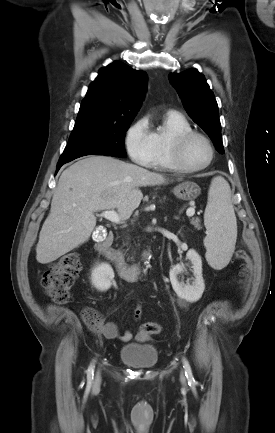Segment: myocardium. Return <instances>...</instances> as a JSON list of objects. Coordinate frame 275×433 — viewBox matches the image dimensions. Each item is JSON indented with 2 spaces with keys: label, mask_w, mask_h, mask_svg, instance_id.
<instances>
[{
  "label": "myocardium",
  "mask_w": 275,
  "mask_h": 433,
  "mask_svg": "<svg viewBox=\"0 0 275 433\" xmlns=\"http://www.w3.org/2000/svg\"><path fill=\"white\" fill-rule=\"evenodd\" d=\"M194 138H201L207 144L210 150L209 160L205 164L196 167L188 165L184 160L185 147L189 141ZM170 157L177 170L183 172H198L208 168L212 164L215 157V149L208 136L199 131L191 130L178 135L172 140L170 146Z\"/></svg>",
  "instance_id": "f54148a6"
}]
</instances>
